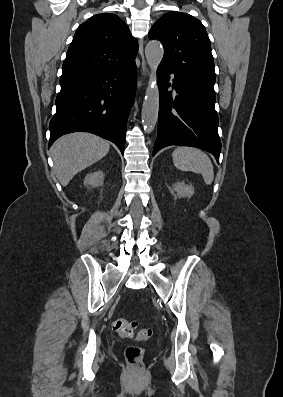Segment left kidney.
Listing matches in <instances>:
<instances>
[{"label":"left kidney","instance_id":"5707ae66","mask_svg":"<svg viewBox=\"0 0 283 397\" xmlns=\"http://www.w3.org/2000/svg\"><path fill=\"white\" fill-rule=\"evenodd\" d=\"M174 190L177 193L175 197H191L194 194V187L185 184L184 182H177L174 184Z\"/></svg>","mask_w":283,"mask_h":397}]
</instances>
